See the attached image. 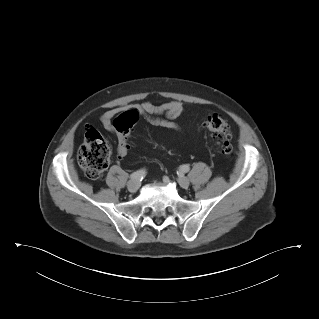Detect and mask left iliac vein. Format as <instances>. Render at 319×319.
<instances>
[{"instance_id": "1", "label": "left iliac vein", "mask_w": 319, "mask_h": 319, "mask_svg": "<svg viewBox=\"0 0 319 319\" xmlns=\"http://www.w3.org/2000/svg\"><path fill=\"white\" fill-rule=\"evenodd\" d=\"M178 183H179V185H180L182 188H188V186H189V184H190L188 178H186V177L183 176V175H180V176L178 177Z\"/></svg>"}]
</instances>
